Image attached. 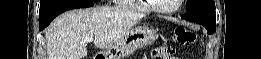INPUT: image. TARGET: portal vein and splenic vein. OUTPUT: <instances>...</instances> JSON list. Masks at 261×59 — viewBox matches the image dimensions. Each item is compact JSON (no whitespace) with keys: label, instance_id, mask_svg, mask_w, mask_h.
<instances>
[{"label":"portal vein and splenic vein","instance_id":"portal-vein-and-splenic-vein-1","mask_svg":"<svg viewBox=\"0 0 261 59\" xmlns=\"http://www.w3.org/2000/svg\"><path fill=\"white\" fill-rule=\"evenodd\" d=\"M93 40V37L92 36H87L86 38H85V41L86 42H90V41H92Z\"/></svg>","mask_w":261,"mask_h":59}]
</instances>
